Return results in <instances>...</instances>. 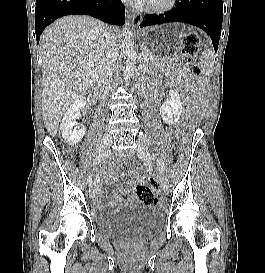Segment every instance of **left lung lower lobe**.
<instances>
[{
    "label": "left lung lower lobe",
    "mask_w": 265,
    "mask_h": 273,
    "mask_svg": "<svg viewBox=\"0 0 265 273\" xmlns=\"http://www.w3.org/2000/svg\"><path fill=\"white\" fill-rule=\"evenodd\" d=\"M222 19V0H177L176 7L164 15H145L140 27L168 22L195 25L211 37L214 49L217 51Z\"/></svg>",
    "instance_id": "left-lung-lower-lobe-1"
}]
</instances>
